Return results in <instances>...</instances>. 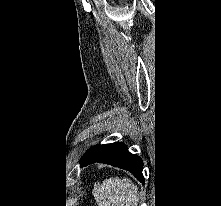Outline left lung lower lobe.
<instances>
[{
  "label": "left lung lower lobe",
  "instance_id": "1",
  "mask_svg": "<svg viewBox=\"0 0 221 206\" xmlns=\"http://www.w3.org/2000/svg\"><path fill=\"white\" fill-rule=\"evenodd\" d=\"M95 162L106 163L128 170L144 183L142 175L143 162L141 158L128 152V148L122 143L96 145L87 150L80 160L81 166Z\"/></svg>",
  "mask_w": 221,
  "mask_h": 206
}]
</instances>
